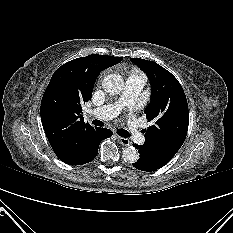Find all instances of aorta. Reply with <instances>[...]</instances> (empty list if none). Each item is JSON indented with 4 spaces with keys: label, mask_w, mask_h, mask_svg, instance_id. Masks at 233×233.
Listing matches in <instances>:
<instances>
[{
    "label": "aorta",
    "mask_w": 233,
    "mask_h": 233,
    "mask_svg": "<svg viewBox=\"0 0 233 233\" xmlns=\"http://www.w3.org/2000/svg\"><path fill=\"white\" fill-rule=\"evenodd\" d=\"M102 87L105 92L116 95L123 90L124 80L119 74H110L104 77ZM122 157L125 162L134 163L139 159V153L136 148L129 146L123 149Z\"/></svg>",
    "instance_id": "aorta-1"
}]
</instances>
